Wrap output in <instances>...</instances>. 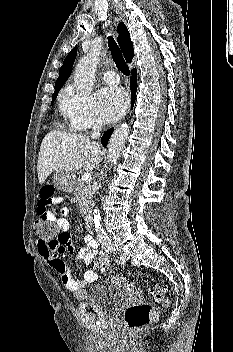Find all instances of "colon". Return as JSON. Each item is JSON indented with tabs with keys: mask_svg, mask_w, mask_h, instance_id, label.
Masks as SVG:
<instances>
[{
	"mask_svg": "<svg viewBox=\"0 0 233 352\" xmlns=\"http://www.w3.org/2000/svg\"><path fill=\"white\" fill-rule=\"evenodd\" d=\"M34 233L41 241H50L58 235L57 228L48 219H38L33 226ZM96 267L106 270L110 267V260L103 255L98 258L95 263ZM166 286L154 283L149 290V295L152 303H138L129 306L124 313V321L126 327L131 331H138L150 324L157 318V305L163 307L170 305V300L164 298ZM74 295L77 299L83 300L87 297V292L83 287H78L74 290Z\"/></svg>",
	"mask_w": 233,
	"mask_h": 352,
	"instance_id": "obj_1",
	"label": "colon"
}]
</instances>
